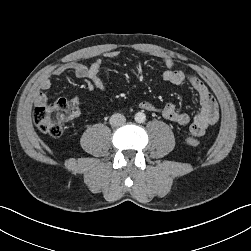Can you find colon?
Wrapping results in <instances>:
<instances>
[{"instance_id": "1", "label": "colon", "mask_w": 251, "mask_h": 251, "mask_svg": "<svg viewBox=\"0 0 251 251\" xmlns=\"http://www.w3.org/2000/svg\"><path fill=\"white\" fill-rule=\"evenodd\" d=\"M78 113V108L71 101L59 99L53 103L38 105L33 113L37 128L48 135L58 137L63 134ZM189 143L198 146L199 141L191 138Z\"/></svg>"}]
</instances>
